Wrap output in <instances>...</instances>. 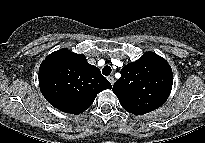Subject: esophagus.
Returning <instances> with one entry per match:
<instances>
[{
	"instance_id": "1",
	"label": "esophagus",
	"mask_w": 205,
	"mask_h": 143,
	"mask_svg": "<svg viewBox=\"0 0 205 143\" xmlns=\"http://www.w3.org/2000/svg\"><path fill=\"white\" fill-rule=\"evenodd\" d=\"M107 79H108V81L111 83V85L114 84L115 80H114V77H113V76H108Z\"/></svg>"
}]
</instances>
